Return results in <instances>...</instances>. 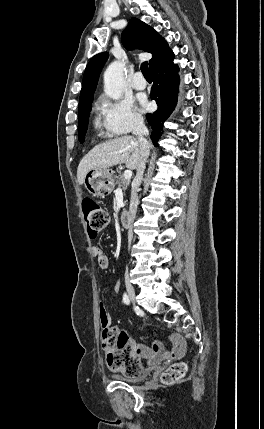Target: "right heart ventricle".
I'll return each mask as SVG.
<instances>
[{
    "mask_svg": "<svg viewBox=\"0 0 264 429\" xmlns=\"http://www.w3.org/2000/svg\"><path fill=\"white\" fill-rule=\"evenodd\" d=\"M96 125L98 126L99 125V122H98V120L96 121ZM102 136H106V135H110V134H108L105 130L104 131H101V133H100Z\"/></svg>",
    "mask_w": 264,
    "mask_h": 429,
    "instance_id": "e07e8e85",
    "label": "right heart ventricle"
}]
</instances>
